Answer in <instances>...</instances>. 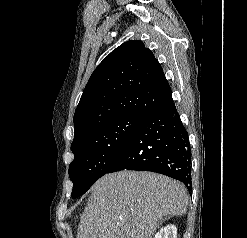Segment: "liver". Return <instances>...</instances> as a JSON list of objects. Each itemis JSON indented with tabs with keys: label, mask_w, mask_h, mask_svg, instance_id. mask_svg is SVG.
<instances>
[{
	"label": "liver",
	"mask_w": 247,
	"mask_h": 238,
	"mask_svg": "<svg viewBox=\"0 0 247 238\" xmlns=\"http://www.w3.org/2000/svg\"><path fill=\"white\" fill-rule=\"evenodd\" d=\"M183 184L145 171H120L100 178L80 217L77 238H152L164 216L186 213Z\"/></svg>",
	"instance_id": "liver-1"
}]
</instances>
